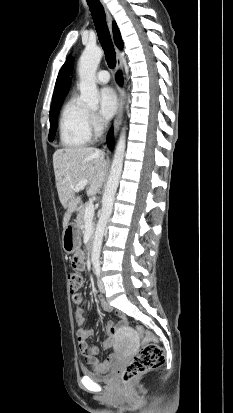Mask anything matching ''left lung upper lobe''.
I'll use <instances>...</instances> for the list:
<instances>
[{
    "label": "left lung upper lobe",
    "mask_w": 233,
    "mask_h": 413,
    "mask_svg": "<svg viewBox=\"0 0 233 413\" xmlns=\"http://www.w3.org/2000/svg\"><path fill=\"white\" fill-rule=\"evenodd\" d=\"M65 64H66V63H65ZM65 64H64L63 67L61 68V70H60V72H59V76H60L61 73L63 72V69H64V67H65ZM59 76H58L57 82H58V80H59ZM57 82H56L55 90H56V88H57Z\"/></svg>",
    "instance_id": "obj_1"
}]
</instances>
